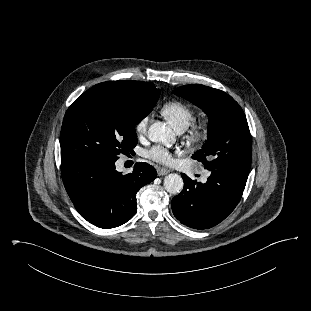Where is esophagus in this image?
Masks as SVG:
<instances>
[{
    "mask_svg": "<svg viewBox=\"0 0 311 311\" xmlns=\"http://www.w3.org/2000/svg\"><path fill=\"white\" fill-rule=\"evenodd\" d=\"M157 173L159 176H163L169 173V170L166 168H158Z\"/></svg>",
    "mask_w": 311,
    "mask_h": 311,
    "instance_id": "34e87169",
    "label": "esophagus"
}]
</instances>
